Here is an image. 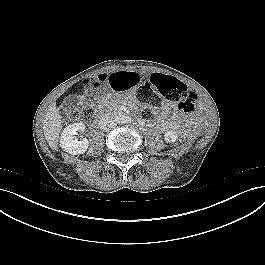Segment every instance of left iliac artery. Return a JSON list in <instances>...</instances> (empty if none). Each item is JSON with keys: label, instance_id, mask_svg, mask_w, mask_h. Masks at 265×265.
I'll return each mask as SVG.
<instances>
[{"label": "left iliac artery", "instance_id": "1", "mask_svg": "<svg viewBox=\"0 0 265 265\" xmlns=\"http://www.w3.org/2000/svg\"><path fill=\"white\" fill-rule=\"evenodd\" d=\"M131 118L130 117H125L123 120V123H131Z\"/></svg>", "mask_w": 265, "mask_h": 265}]
</instances>
